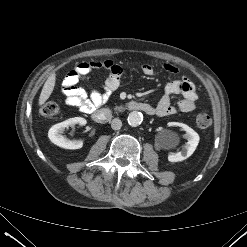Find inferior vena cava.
<instances>
[{
	"instance_id": "obj_1",
	"label": "inferior vena cava",
	"mask_w": 247,
	"mask_h": 247,
	"mask_svg": "<svg viewBox=\"0 0 247 247\" xmlns=\"http://www.w3.org/2000/svg\"><path fill=\"white\" fill-rule=\"evenodd\" d=\"M122 127V122L118 118H114L111 122V128L113 130H119Z\"/></svg>"
}]
</instances>
